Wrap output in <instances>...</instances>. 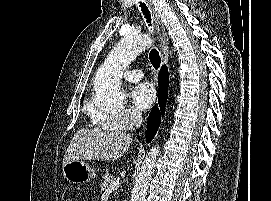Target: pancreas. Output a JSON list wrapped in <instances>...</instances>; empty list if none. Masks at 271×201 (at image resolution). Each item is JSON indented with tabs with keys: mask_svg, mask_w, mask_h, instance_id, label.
I'll use <instances>...</instances> for the list:
<instances>
[{
	"mask_svg": "<svg viewBox=\"0 0 271 201\" xmlns=\"http://www.w3.org/2000/svg\"><path fill=\"white\" fill-rule=\"evenodd\" d=\"M114 180L115 179L111 174L106 173L102 178V183L100 184L101 193L104 192L109 187L110 183Z\"/></svg>",
	"mask_w": 271,
	"mask_h": 201,
	"instance_id": "pancreas-1",
	"label": "pancreas"
}]
</instances>
